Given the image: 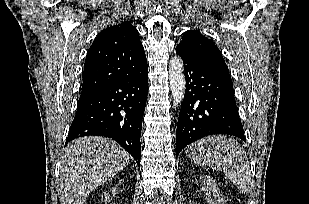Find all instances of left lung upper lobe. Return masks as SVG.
<instances>
[{
	"label": "left lung upper lobe",
	"mask_w": 309,
	"mask_h": 204,
	"mask_svg": "<svg viewBox=\"0 0 309 204\" xmlns=\"http://www.w3.org/2000/svg\"><path fill=\"white\" fill-rule=\"evenodd\" d=\"M176 50L190 58L206 63L216 69L229 73L223 56L217 46L198 31H186Z\"/></svg>",
	"instance_id": "left-lung-upper-lobe-1"
}]
</instances>
